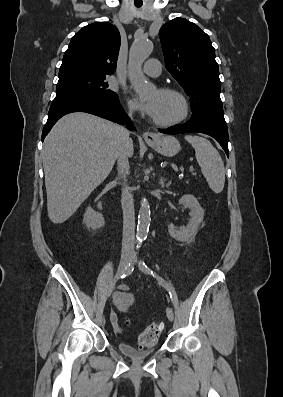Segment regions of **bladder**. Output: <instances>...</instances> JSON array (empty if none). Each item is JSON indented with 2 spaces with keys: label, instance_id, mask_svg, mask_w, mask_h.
<instances>
[{
  "label": "bladder",
  "instance_id": "obj_1",
  "mask_svg": "<svg viewBox=\"0 0 283 397\" xmlns=\"http://www.w3.org/2000/svg\"><path fill=\"white\" fill-rule=\"evenodd\" d=\"M117 350L126 357L133 360L145 359L157 351V343H153L148 348H137L125 342H119L116 345Z\"/></svg>",
  "mask_w": 283,
  "mask_h": 397
}]
</instances>
